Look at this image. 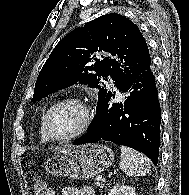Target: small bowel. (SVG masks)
I'll return each mask as SVG.
<instances>
[{"label": "small bowel", "mask_w": 189, "mask_h": 195, "mask_svg": "<svg viewBox=\"0 0 189 195\" xmlns=\"http://www.w3.org/2000/svg\"><path fill=\"white\" fill-rule=\"evenodd\" d=\"M63 195H95L91 187H83L81 190L67 188L63 191Z\"/></svg>", "instance_id": "obj_1"}]
</instances>
